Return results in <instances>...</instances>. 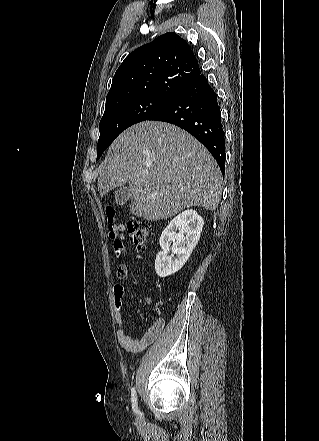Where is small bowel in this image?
<instances>
[{"label":"small bowel","mask_w":319,"mask_h":441,"mask_svg":"<svg viewBox=\"0 0 319 441\" xmlns=\"http://www.w3.org/2000/svg\"><path fill=\"white\" fill-rule=\"evenodd\" d=\"M123 247L121 248L122 253ZM140 259V256H137ZM128 269L125 265H120L117 268V278L120 280L113 286L112 299L114 305L115 319L117 323V339L121 347L126 350L138 352L146 349L149 345L154 343L162 334L165 327V320L158 316L160 312V306L157 304L152 307L154 319L151 325L147 328L143 336L139 339H134L129 336L123 327V295L124 285L121 280L127 277ZM142 299L148 304L152 305V300L149 297H142Z\"/></svg>","instance_id":"c3829d8e"}]
</instances>
